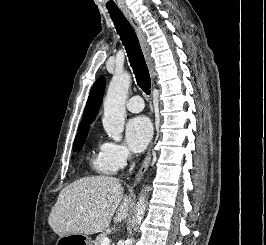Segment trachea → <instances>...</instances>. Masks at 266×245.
<instances>
[{
  "mask_svg": "<svg viewBox=\"0 0 266 245\" xmlns=\"http://www.w3.org/2000/svg\"><path fill=\"white\" fill-rule=\"evenodd\" d=\"M109 13L125 46L136 81L139 87L149 95L151 79L137 35L122 12L113 11Z\"/></svg>",
  "mask_w": 266,
  "mask_h": 245,
  "instance_id": "1",
  "label": "trachea"
}]
</instances>
